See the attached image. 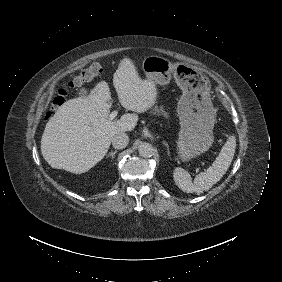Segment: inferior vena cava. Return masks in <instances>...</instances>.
<instances>
[{
  "instance_id": "inferior-vena-cava-1",
  "label": "inferior vena cava",
  "mask_w": 282,
  "mask_h": 282,
  "mask_svg": "<svg viewBox=\"0 0 282 282\" xmlns=\"http://www.w3.org/2000/svg\"><path fill=\"white\" fill-rule=\"evenodd\" d=\"M129 142V137L126 133L120 132L113 136L112 144L114 148L123 149L127 146Z\"/></svg>"
}]
</instances>
